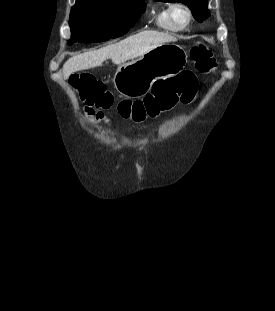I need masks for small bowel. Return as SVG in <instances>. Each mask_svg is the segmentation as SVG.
Segmentation results:
<instances>
[{
  "label": "small bowel",
  "instance_id": "small-bowel-1",
  "mask_svg": "<svg viewBox=\"0 0 275 311\" xmlns=\"http://www.w3.org/2000/svg\"><path fill=\"white\" fill-rule=\"evenodd\" d=\"M87 114L96 120H101L103 118L102 113H94L90 108L87 109Z\"/></svg>",
  "mask_w": 275,
  "mask_h": 311
}]
</instances>
